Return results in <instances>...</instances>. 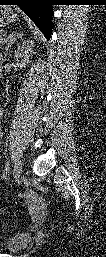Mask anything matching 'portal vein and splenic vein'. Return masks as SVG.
Instances as JSON below:
<instances>
[{
    "instance_id": "portal-vein-and-splenic-vein-1",
    "label": "portal vein and splenic vein",
    "mask_w": 106,
    "mask_h": 257,
    "mask_svg": "<svg viewBox=\"0 0 106 257\" xmlns=\"http://www.w3.org/2000/svg\"><path fill=\"white\" fill-rule=\"evenodd\" d=\"M6 40L5 39H1V43H4Z\"/></svg>"
}]
</instances>
